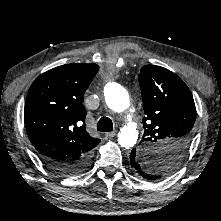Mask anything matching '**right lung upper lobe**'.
<instances>
[{"instance_id": "obj_1", "label": "right lung upper lobe", "mask_w": 221, "mask_h": 221, "mask_svg": "<svg viewBox=\"0 0 221 221\" xmlns=\"http://www.w3.org/2000/svg\"><path fill=\"white\" fill-rule=\"evenodd\" d=\"M96 64H67L36 78L25 103L28 136L43 158L79 161L91 156L100 139L84 124L83 96L98 72Z\"/></svg>"}]
</instances>
